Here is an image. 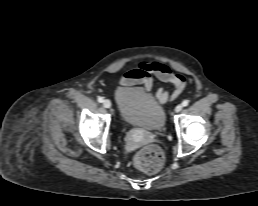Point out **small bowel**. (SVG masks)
<instances>
[{"label": "small bowel", "instance_id": "obj_1", "mask_svg": "<svg viewBox=\"0 0 258 206\" xmlns=\"http://www.w3.org/2000/svg\"><path fill=\"white\" fill-rule=\"evenodd\" d=\"M169 83L171 90L160 87L156 92V99L163 104L175 100L184 90L186 79L182 74L173 72L167 65L158 62H141L138 67L128 70L121 78L122 86L142 84L147 92L152 90L154 81Z\"/></svg>", "mask_w": 258, "mask_h": 206}]
</instances>
